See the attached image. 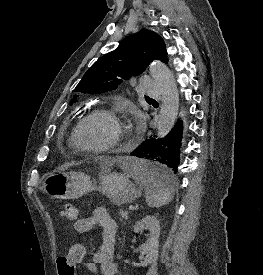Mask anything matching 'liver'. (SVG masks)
<instances>
[{
	"instance_id": "liver-1",
	"label": "liver",
	"mask_w": 263,
	"mask_h": 275,
	"mask_svg": "<svg viewBox=\"0 0 263 275\" xmlns=\"http://www.w3.org/2000/svg\"><path fill=\"white\" fill-rule=\"evenodd\" d=\"M125 161H127V158H113V159H105V160H104V163H105L106 165H111V164H113L114 162H119V163H121V162H125Z\"/></svg>"
}]
</instances>
